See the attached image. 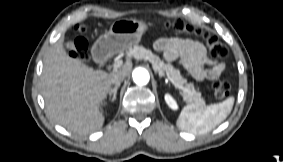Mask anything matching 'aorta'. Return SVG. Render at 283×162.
<instances>
[{
    "label": "aorta",
    "instance_id": "obj_1",
    "mask_svg": "<svg viewBox=\"0 0 283 162\" xmlns=\"http://www.w3.org/2000/svg\"><path fill=\"white\" fill-rule=\"evenodd\" d=\"M133 81L137 85H146L150 80L149 72L141 67L136 68L132 73Z\"/></svg>",
    "mask_w": 283,
    "mask_h": 162
}]
</instances>
